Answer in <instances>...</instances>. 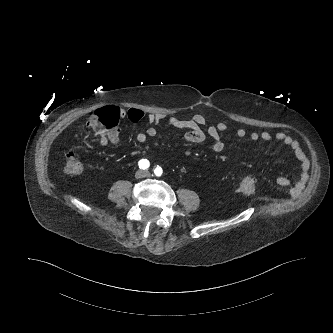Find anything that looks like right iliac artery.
I'll list each match as a JSON object with an SVG mask.
<instances>
[{"label":"right iliac artery","instance_id":"obj_1","mask_svg":"<svg viewBox=\"0 0 333 333\" xmlns=\"http://www.w3.org/2000/svg\"><path fill=\"white\" fill-rule=\"evenodd\" d=\"M138 166H139L140 169L146 170L150 167V163L147 159H141L138 162Z\"/></svg>","mask_w":333,"mask_h":333}]
</instances>
